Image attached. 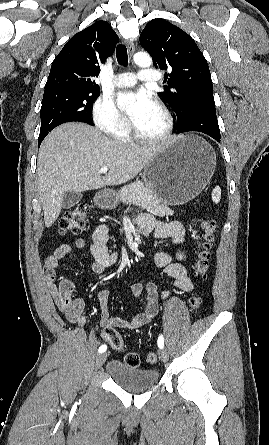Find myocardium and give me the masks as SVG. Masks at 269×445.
Instances as JSON below:
<instances>
[{
  "mask_svg": "<svg viewBox=\"0 0 269 445\" xmlns=\"http://www.w3.org/2000/svg\"><path fill=\"white\" fill-rule=\"evenodd\" d=\"M155 106L161 111V113L163 114L164 118H165V129L163 130L162 133H160L157 136H146L144 134H142L135 126V124L133 122H131V131H132V135L133 137L143 143H159V142H163L165 140H167L172 132H173V128H174V119L173 116L171 114V112L169 111V109L162 103L159 101H155Z\"/></svg>",
  "mask_w": 269,
  "mask_h": 445,
  "instance_id": "f54148a6",
  "label": "myocardium"
}]
</instances>
